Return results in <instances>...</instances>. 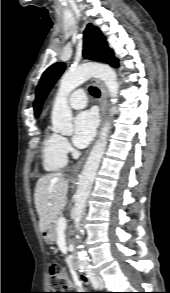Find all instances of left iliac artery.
<instances>
[{"mask_svg": "<svg viewBox=\"0 0 170 293\" xmlns=\"http://www.w3.org/2000/svg\"><path fill=\"white\" fill-rule=\"evenodd\" d=\"M86 274H87V277H88L89 281L91 282L92 286L95 289L98 288L97 279L95 277L94 272L92 271V269L90 267L86 269Z\"/></svg>", "mask_w": 170, "mask_h": 293, "instance_id": "left-iliac-artery-1", "label": "left iliac artery"}]
</instances>
